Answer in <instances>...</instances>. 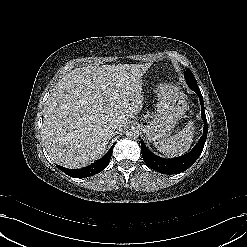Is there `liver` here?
<instances>
[{
	"label": "liver",
	"instance_id": "obj_1",
	"mask_svg": "<svg viewBox=\"0 0 247 247\" xmlns=\"http://www.w3.org/2000/svg\"><path fill=\"white\" fill-rule=\"evenodd\" d=\"M150 66L91 65L60 79L43 111L42 139L51 160L76 169L100 159L112 138L107 126L122 129L141 111V79Z\"/></svg>",
	"mask_w": 247,
	"mask_h": 247
}]
</instances>
